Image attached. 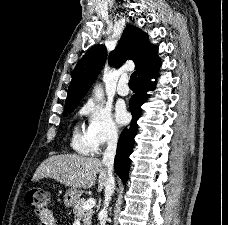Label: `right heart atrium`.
Instances as JSON below:
<instances>
[{
	"instance_id": "d8ad5b80",
	"label": "right heart atrium",
	"mask_w": 228,
	"mask_h": 225,
	"mask_svg": "<svg viewBox=\"0 0 228 225\" xmlns=\"http://www.w3.org/2000/svg\"><path fill=\"white\" fill-rule=\"evenodd\" d=\"M85 120L84 133L92 141L96 150L114 143L119 136L117 127L109 110L89 100L79 109Z\"/></svg>"
}]
</instances>
